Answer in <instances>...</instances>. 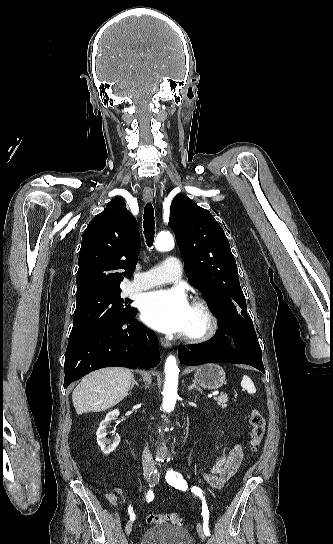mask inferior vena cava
Masks as SVG:
<instances>
[{
  "instance_id": "1",
  "label": "inferior vena cava",
  "mask_w": 333,
  "mask_h": 544,
  "mask_svg": "<svg viewBox=\"0 0 333 544\" xmlns=\"http://www.w3.org/2000/svg\"><path fill=\"white\" fill-rule=\"evenodd\" d=\"M142 464L143 468H154V461L148 447H145L143 451Z\"/></svg>"
}]
</instances>
